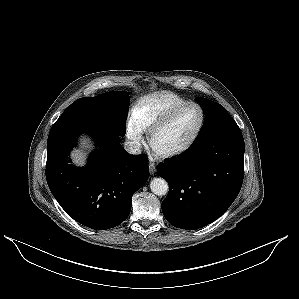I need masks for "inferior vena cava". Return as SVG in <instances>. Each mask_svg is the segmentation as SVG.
Here are the masks:
<instances>
[{
  "label": "inferior vena cava",
  "mask_w": 299,
  "mask_h": 299,
  "mask_svg": "<svg viewBox=\"0 0 299 299\" xmlns=\"http://www.w3.org/2000/svg\"><path fill=\"white\" fill-rule=\"evenodd\" d=\"M124 149L132 155H138L141 153V144L135 141H126L124 143Z\"/></svg>",
  "instance_id": "1"
}]
</instances>
